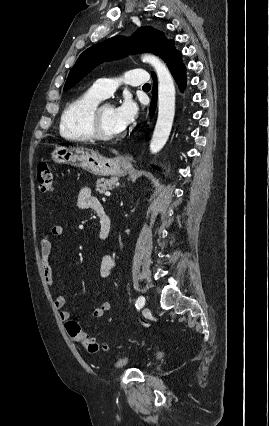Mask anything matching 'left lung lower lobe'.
<instances>
[{
    "label": "left lung lower lobe",
    "instance_id": "obj_1",
    "mask_svg": "<svg viewBox=\"0 0 269 426\" xmlns=\"http://www.w3.org/2000/svg\"><path fill=\"white\" fill-rule=\"evenodd\" d=\"M160 57L166 62L168 68L170 69L174 79L179 85V88L182 90L186 85V68L182 62L181 53L176 50L174 46V41H172L166 49L161 53ZM152 77L154 79L153 86V97L151 101L150 111L151 114L154 113L157 101V83H156V75L152 73Z\"/></svg>",
    "mask_w": 269,
    "mask_h": 426
}]
</instances>
